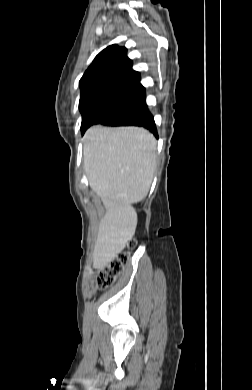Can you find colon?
I'll list each match as a JSON object with an SVG mask.
<instances>
[{"label": "colon", "mask_w": 252, "mask_h": 390, "mask_svg": "<svg viewBox=\"0 0 252 390\" xmlns=\"http://www.w3.org/2000/svg\"><path fill=\"white\" fill-rule=\"evenodd\" d=\"M134 246L135 241L130 240L127 243L128 251L118 254L99 270L96 279L99 288H106L115 282L129 260V250Z\"/></svg>", "instance_id": "1"}]
</instances>
